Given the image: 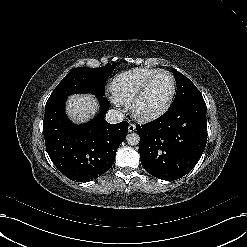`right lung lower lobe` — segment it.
Returning a JSON list of instances; mask_svg holds the SVG:
<instances>
[{
  "instance_id": "right-lung-lower-lobe-1",
  "label": "right lung lower lobe",
  "mask_w": 247,
  "mask_h": 247,
  "mask_svg": "<svg viewBox=\"0 0 247 247\" xmlns=\"http://www.w3.org/2000/svg\"><path fill=\"white\" fill-rule=\"evenodd\" d=\"M66 99L46 103L43 120L46 150L53 164L70 180L90 181L113 165L116 151L127 135L128 122H106L103 115L109 104L98 96L100 114L86 124L74 125L65 114Z\"/></svg>"
}]
</instances>
